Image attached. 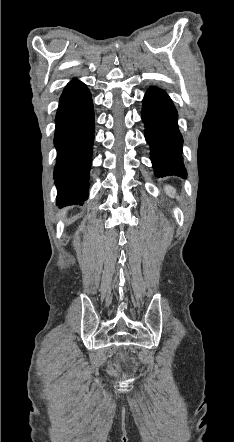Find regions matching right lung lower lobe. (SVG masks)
Returning <instances> with one entry per match:
<instances>
[{
  "mask_svg": "<svg viewBox=\"0 0 234 442\" xmlns=\"http://www.w3.org/2000/svg\"><path fill=\"white\" fill-rule=\"evenodd\" d=\"M54 179L60 207L85 201L94 141V109L85 84L71 81L64 89L56 114Z\"/></svg>",
  "mask_w": 234,
  "mask_h": 442,
  "instance_id": "right-lung-lower-lobe-1",
  "label": "right lung lower lobe"
}]
</instances>
